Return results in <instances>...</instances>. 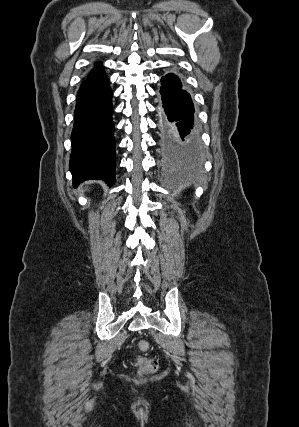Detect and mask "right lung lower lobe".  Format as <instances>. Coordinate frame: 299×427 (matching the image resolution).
I'll return each mask as SVG.
<instances>
[{"label": "right lung lower lobe", "instance_id": "obj_1", "mask_svg": "<svg viewBox=\"0 0 299 427\" xmlns=\"http://www.w3.org/2000/svg\"><path fill=\"white\" fill-rule=\"evenodd\" d=\"M112 91L105 73L85 80L78 91L72 130L73 185L89 179L115 182Z\"/></svg>", "mask_w": 299, "mask_h": 427}]
</instances>
